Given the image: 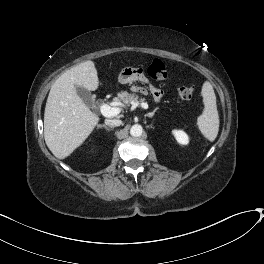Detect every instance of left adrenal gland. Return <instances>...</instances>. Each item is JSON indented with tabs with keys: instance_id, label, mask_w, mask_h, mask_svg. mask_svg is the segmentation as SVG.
<instances>
[{
	"instance_id": "a2214340",
	"label": "left adrenal gland",
	"mask_w": 264,
	"mask_h": 264,
	"mask_svg": "<svg viewBox=\"0 0 264 264\" xmlns=\"http://www.w3.org/2000/svg\"><path fill=\"white\" fill-rule=\"evenodd\" d=\"M157 110H158V108H155L152 112L145 114V116H148V117L152 118Z\"/></svg>"
}]
</instances>
